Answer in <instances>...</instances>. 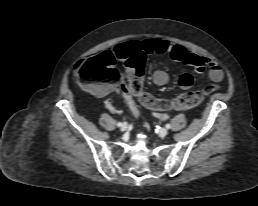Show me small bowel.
<instances>
[{
	"label": "small bowel",
	"instance_id": "small-bowel-1",
	"mask_svg": "<svg viewBox=\"0 0 258 206\" xmlns=\"http://www.w3.org/2000/svg\"><path fill=\"white\" fill-rule=\"evenodd\" d=\"M106 53L125 61L137 55L169 54L173 60L192 67L196 73H203L207 70L209 78L213 82L217 83L223 79V71L214 60L161 38H148L143 41L129 40L118 44L113 52L107 51ZM152 80L156 85L163 86L169 81V75L165 70H157L154 72ZM178 82L182 89H189L193 85V77L191 74L185 73L179 77ZM112 90H114L112 86L103 87L98 91V95H106ZM106 107L112 113H119L112 99L106 101ZM156 117L160 120H165L167 114L156 111Z\"/></svg>",
	"mask_w": 258,
	"mask_h": 206
}]
</instances>
